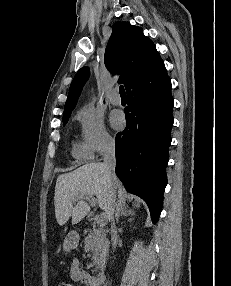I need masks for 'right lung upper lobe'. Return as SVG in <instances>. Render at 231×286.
I'll return each mask as SVG.
<instances>
[{"label":"right lung upper lobe","instance_id":"right-lung-upper-lobe-1","mask_svg":"<svg viewBox=\"0 0 231 286\" xmlns=\"http://www.w3.org/2000/svg\"><path fill=\"white\" fill-rule=\"evenodd\" d=\"M104 60L111 73L120 74L119 81L125 88L138 79L166 70L154 43L143 34L140 27L132 26L129 22L114 24ZM88 77V67L81 68L75 75L65 103L64 115L71 114Z\"/></svg>","mask_w":231,"mask_h":286}]
</instances>
